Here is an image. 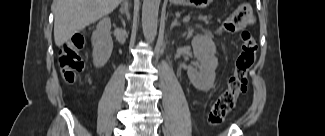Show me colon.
<instances>
[{"instance_id":"colon-1","label":"colon","mask_w":325,"mask_h":136,"mask_svg":"<svg viewBox=\"0 0 325 136\" xmlns=\"http://www.w3.org/2000/svg\"><path fill=\"white\" fill-rule=\"evenodd\" d=\"M245 15V12L239 14L236 20L238 25ZM240 37L241 50L236 60L235 70L228 79L227 89L218 96L208 114V122L211 126H217L224 120L233 109L238 97L247 89L248 73L256 59L257 44L247 30H242ZM84 46L85 39L79 35L64 44L59 52V65L66 83L74 82L83 70L81 52Z\"/></svg>"}]
</instances>
